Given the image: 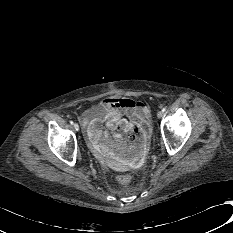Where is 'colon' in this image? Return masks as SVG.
<instances>
[{
	"label": "colon",
	"instance_id": "obj_1",
	"mask_svg": "<svg viewBox=\"0 0 233 233\" xmlns=\"http://www.w3.org/2000/svg\"><path fill=\"white\" fill-rule=\"evenodd\" d=\"M116 128L119 130L120 129V125H117ZM118 181L119 183L126 185L129 184L131 182V177L128 174H122L120 176H118Z\"/></svg>",
	"mask_w": 233,
	"mask_h": 233
}]
</instances>
